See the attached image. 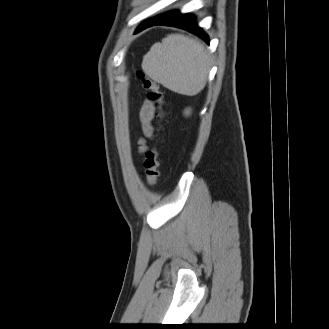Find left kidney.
Masks as SVG:
<instances>
[{"label": "left kidney", "mask_w": 329, "mask_h": 329, "mask_svg": "<svg viewBox=\"0 0 329 329\" xmlns=\"http://www.w3.org/2000/svg\"><path fill=\"white\" fill-rule=\"evenodd\" d=\"M189 113H190V110H185L186 115H189Z\"/></svg>", "instance_id": "1"}]
</instances>
